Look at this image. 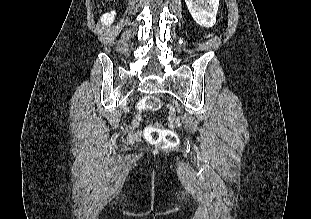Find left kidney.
Segmentation results:
<instances>
[{
    "mask_svg": "<svg viewBox=\"0 0 311 219\" xmlns=\"http://www.w3.org/2000/svg\"><path fill=\"white\" fill-rule=\"evenodd\" d=\"M194 21L204 27H212L216 22L219 0H185Z\"/></svg>",
    "mask_w": 311,
    "mask_h": 219,
    "instance_id": "5707ae66",
    "label": "left kidney"
}]
</instances>
